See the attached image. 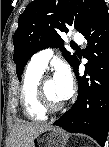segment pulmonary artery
I'll use <instances>...</instances> for the list:
<instances>
[{"label": "pulmonary artery", "mask_w": 109, "mask_h": 147, "mask_svg": "<svg viewBox=\"0 0 109 147\" xmlns=\"http://www.w3.org/2000/svg\"><path fill=\"white\" fill-rule=\"evenodd\" d=\"M74 39L78 44H82L84 42L83 35L80 33L75 34ZM53 53L54 51L52 48H47L37 52L31 57L29 66L34 69L44 71L48 65L49 60L52 58Z\"/></svg>", "instance_id": "obj_1"}]
</instances>
